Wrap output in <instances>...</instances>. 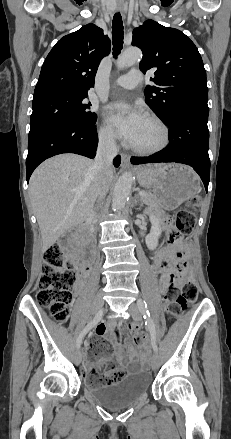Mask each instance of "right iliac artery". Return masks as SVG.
<instances>
[{"label":"right iliac artery","instance_id":"82829eb1","mask_svg":"<svg viewBox=\"0 0 231 439\" xmlns=\"http://www.w3.org/2000/svg\"><path fill=\"white\" fill-rule=\"evenodd\" d=\"M100 320H97L96 318H94L91 322H89L87 324V326L83 329V331L81 332V334L79 335V337L77 338L76 341V347L79 348L81 343H82V339L83 337L99 322Z\"/></svg>","mask_w":231,"mask_h":439}]
</instances>
